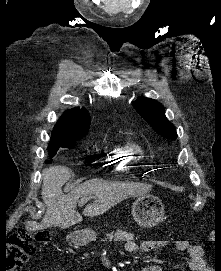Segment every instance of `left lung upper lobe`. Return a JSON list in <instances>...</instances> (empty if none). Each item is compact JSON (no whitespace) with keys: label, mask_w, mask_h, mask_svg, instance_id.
I'll return each mask as SVG.
<instances>
[{"label":"left lung upper lobe","mask_w":221,"mask_h":271,"mask_svg":"<svg viewBox=\"0 0 221 271\" xmlns=\"http://www.w3.org/2000/svg\"><path fill=\"white\" fill-rule=\"evenodd\" d=\"M134 107L159 134L170 139L176 138L175 127L165 117L164 107L159 102L139 97L134 103Z\"/></svg>","instance_id":"obj_1"}]
</instances>
